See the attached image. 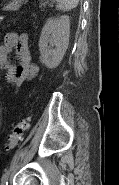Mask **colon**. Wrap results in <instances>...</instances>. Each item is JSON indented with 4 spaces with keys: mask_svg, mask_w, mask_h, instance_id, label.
I'll return each instance as SVG.
<instances>
[{
    "mask_svg": "<svg viewBox=\"0 0 119 185\" xmlns=\"http://www.w3.org/2000/svg\"><path fill=\"white\" fill-rule=\"evenodd\" d=\"M28 126L29 117H24L13 127L5 145L8 151L14 150L18 146Z\"/></svg>",
    "mask_w": 119,
    "mask_h": 185,
    "instance_id": "obj_1",
    "label": "colon"
}]
</instances>
